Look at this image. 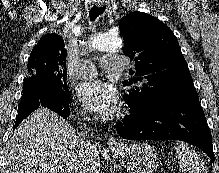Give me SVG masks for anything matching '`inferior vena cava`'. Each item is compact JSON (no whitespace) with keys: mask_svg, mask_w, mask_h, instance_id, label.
I'll use <instances>...</instances> for the list:
<instances>
[{"mask_svg":"<svg viewBox=\"0 0 219 173\" xmlns=\"http://www.w3.org/2000/svg\"><path fill=\"white\" fill-rule=\"evenodd\" d=\"M81 116L83 117V128L82 131L78 134V140L80 144L79 150V159L75 164L74 172L75 173H91L92 168H90L91 162L97 156V146L92 143L87 137V128L86 123L89 121V118L86 112H81Z\"/></svg>","mask_w":219,"mask_h":173,"instance_id":"1","label":"inferior vena cava"}]
</instances>
